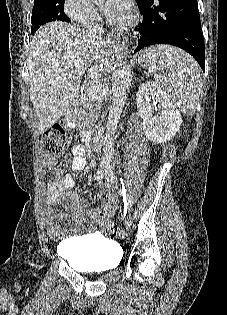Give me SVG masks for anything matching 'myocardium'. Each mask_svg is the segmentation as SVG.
<instances>
[{"label":"myocardium","mask_w":227,"mask_h":315,"mask_svg":"<svg viewBox=\"0 0 227 315\" xmlns=\"http://www.w3.org/2000/svg\"><path fill=\"white\" fill-rule=\"evenodd\" d=\"M133 22V19L131 18L130 20H129V23L131 24Z\"/></svg>","instance_id":"1"}]
</instances>
